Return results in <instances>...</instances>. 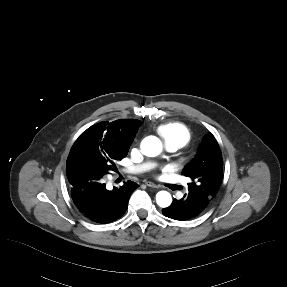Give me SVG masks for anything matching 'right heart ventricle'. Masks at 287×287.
Returning a JSON list of instances; mask_svg holds the SVG:
<instances>
[{"instance_id": "right-heart-ventricle-1", "label": "right heart ventricle", "mask_w": 287, "mask_h": 287, "mask_svg": "<svg viewBox=\"0 0 287 287\" xmlns=\"http://www.w3.org/2000/svg\"><path fill=\"white\" fill-rule=\"evenodd\" d=\"M157 132L165 146H174L180 149L190 141V131L188 127L180 122L162 124L157 128Z\"/></svg>"}]
</instances>
